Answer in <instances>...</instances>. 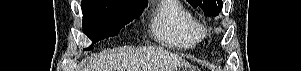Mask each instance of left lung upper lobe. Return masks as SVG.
Wrapping results in <instances>:
<instances>
[{"mask_svg":"<svg viewBox=\"0 0 301 71\" xmlns=\"http://www.w3.org/2000/svg\"><path fill=\"white\" fill-rule=\"evenodd\" d=\"M192 7H201L208 16H217L222 9V0H187Z\"/></svg>","mask_w":301,"mask_h":71,"instance_id":"obj_1","label":"left lung upper lobe"}]
</instances>
